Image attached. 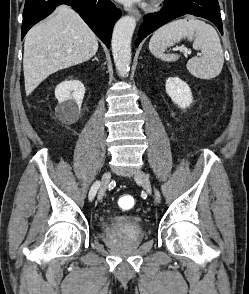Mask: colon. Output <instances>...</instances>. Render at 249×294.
Instances as JSON below:
<instances>
[{"label": "colon", "mask_w": 249, "mask_h": 294, "mask_svg": "<svg viewBox=\"0 0 249 294\" xmlns=\"http://www.w3.org/2000/svg\"><path fill=\"white\" fill-rule=\"evenodd\" d=\"M119 205L123 209H130L135 206V199L131 196H121L119 199Z\"/></svg>", "instance_id": "5ec220e1"}]
</instances>
